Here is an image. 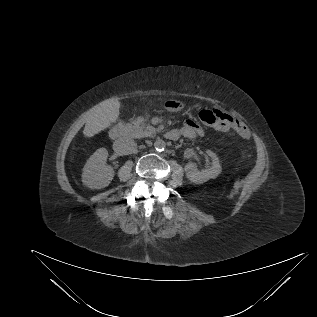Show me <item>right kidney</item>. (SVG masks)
Segmentation results:
<instances>
[{
    "label": "right kidney",
    "mask_w": 317,
    "mask_h": 317,
    "mask_svg": "<svg viewBox=\"0 0 317 317\" xmlns=\"http://www.w3.org/2000/svg\"><path fill=\"white\" fill-rule=\"evenodd\" d=\"M108 151L105 148L98 149L86 162L82 182L91 189L107 187L114 177V170L111 166L105 165Z\"/></svg>",
    "instance_id": "right-kidney-1"
}]
</instances>
